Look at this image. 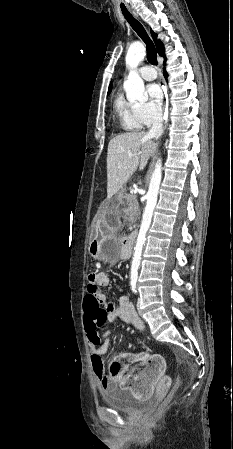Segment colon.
Here are the masks:
<instances>
[{"instance_id": "5ec220e1", "label": "colon", "mask_w": 233, "mask_h": 449, "mask_svg": "<svg viewBox=\"0 0 233 449\" xmlns=\"http://www.w3.org/2000/svg\"><path fill=\"white\" fill-rule=\"evenodd\" d=\"M101 296H90L89 291L81 298V308L83 311L82 322L85 323L86 328H107V310L101 305ZM122 387H129V379L121 381ZM178 388L176 384L173 392ZM166 403L163 404L165 406Z\"/></svg>"}]
</instances>
